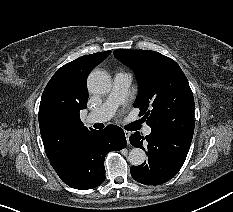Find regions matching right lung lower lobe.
Listing matches in <instances>:
<instances>
[{"instance_id": "obj_1", "label": "right lung lower lobe", "mask_w": 233, "mask_h": 212, "mask_svg": "<svg viewBox=\"0 0 233 212\" xmlns=\"http://www.w3.org/2000/svg\"><path fill=\"white\" fill-rule=\"evenodd\" d=\"M126 145L124 131L118 126L92 130L83 136L77 151L54 169L68 186L80 190L92 189L105 180L104 159L107 153L121 150Z\"/></svg>"}]
</instances>
